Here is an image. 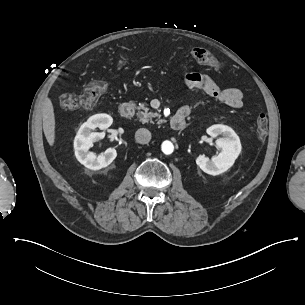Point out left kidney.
I'll list each match as a JSON object with an SVG mask.
<instances>
[{
    "label": "left kidney",
    "instance_id": "5707ae66",
    "mask_svg": "<svg viewBox=\"0 0 305 305\" xmlns=\"http://www.w3.org/2000/svg\"><path fill=\"white\" fill-rule=\"evenodd\" d=\"M207 134L211 137L222 135V138L216 140V145L221 149L217 156L210 160L205 155H199L196 164L205 173L210 175H219L227 171L235 162L241 152V143L235 131L226 125L216 124L207 128Z\"/></svg>",
    "mask_w": 305,
    "mask_h": 305
}]
</instances>
